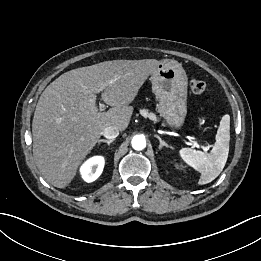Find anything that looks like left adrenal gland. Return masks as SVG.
<instances>
[{
  "instance_id": "1",
  "label": "left adrenal gland",
  "mask_w": 261,
  "mask_h": 261,
  "mask_svg": "<svg viewBox=\"0 0 261 261\" xmlns=\"http://www.w3.org/2000/svg\"><path fill=\"white\" fill-rule=\"evenodd\" d=\"M155 137H156V138L159 140V142H160V145H159V149H160V150H161L163 147L173 149V147H172V146H169L166 142H164V141L160 138V136L155 135Z\"/></svg>"
}]
</instances>
